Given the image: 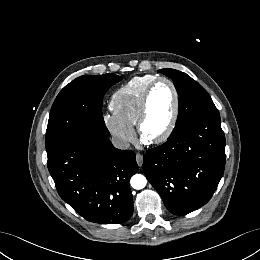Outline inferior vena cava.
Segmentation results:
<instances>
[{"label": "inferior vena cava", "mask_w": 260, "mask_h": 260, "mask_svg": "<svg viewBox=\"0 0 260 260\" xmlns=\"http://www.w3.org/2000/svg\"><path fill=\"white\" fill-rule=\"evenodd\" d=\"M111 141L113 146L117 149L126 150L130 147V143L127 140L119 137H113Z\"/></svg>", "instance_id": "inferior-vena-cava-1"}]
</instances>
